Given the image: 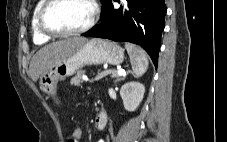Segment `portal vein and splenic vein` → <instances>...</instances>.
<instances>
[{
    "instance_id": "18ae733b",
    "label": "portal vein and splenic vein",
    "mask_w": 227,
    "mask_h": 142,
    "mask_svg": "<svg viewBox=\"0 0 227 142\" xmlns=\"http://www.w3.org/2000/svg\"><path fill=\"white\" fill-rule=\"evenodd\" d=\"M109 74H112V75H115V74L122 75V73L120 71L107 70V71H104V72L100 73L99 75H97L94 80H99V79H101V78H103V77H105V76H107Z\"/></svg>"
}]
</instances>
